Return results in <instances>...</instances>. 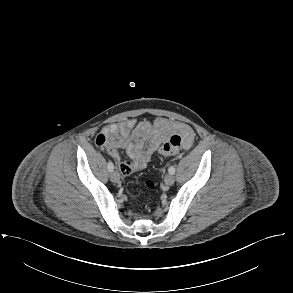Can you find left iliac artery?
<instances>
[{
  "label": "left iliac artery",
  "instance_id": "obj_1",
  "mask_svg": "<svg viewBox=\"0 0 293 293\" xmlns=\"http://www.w3.org/2000/svg\"><path fill=\"white\" fill-rule=\"evenodd\" d=\"M168 172L170 174H174L175 173V168L173 166H171L169 169H168Z\"/></svg>",
  "mask_w": 293,
  "mask_h": 293
}]
</instances>
